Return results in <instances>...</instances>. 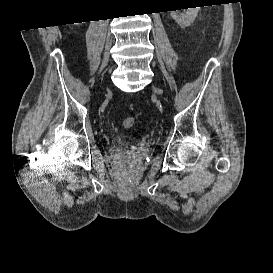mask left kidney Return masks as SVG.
I'll use <instances>...</instances> for the list:
<instances>
[{
  "label": "left kidney",
  "instance_id": "left-kidney-1",
  "mask_svg": "<svg viewBox=\"0 0 273 273\" xmlns=\"http://www.w3.org/2000/svg\"><path fill=\"white\" fill-rule=\"evenodd\" d=\"M199 7L196 8H188L181 10H172L170 11L171 17L178 23V25L182 28L190 26L197 17L199 12Z\"/></svg>",
  "mask_w": 273,
  "mask_h": 273
}]
</instances>
